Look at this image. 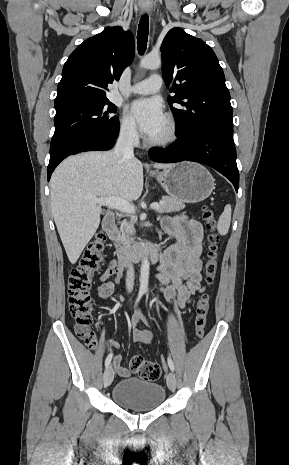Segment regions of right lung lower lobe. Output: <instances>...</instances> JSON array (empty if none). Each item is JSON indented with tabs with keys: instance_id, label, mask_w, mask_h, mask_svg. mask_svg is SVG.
I'll use <instances>...</instances> for the list:
<instances>
[{
	"instance_id": "98d812e1",
	"label": "right lung lower lobe",
	"mask_w": 289,
	"mask_h": 465,
	"mask_svg": "<svg viewBox=\"0 0 289 465\" xmlns=\"http://www.w3.org/2000/svg\"><path fill=\"white\" fill-rule=\"evenodd\" d=\"M118 129L108 135H87L77 139L70 145L50 155V161L47 168V178L50 180L51 174L57 165L69 155L77 154L84 151L109 150L114 145L118 136Z\"/></svg>"
}]
</instances>
